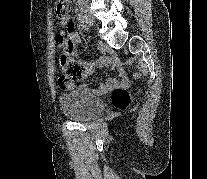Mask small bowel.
<instances>
[{
  "mask_svg": "<svg viewBox=\"0 0 207 179\" xmlns=\"http://www.w3.org/2000/svg\"><path fill=\"white\" fill-rule=\"evenodd\" d=\"M61 26L62 29L56 34V40L63 39L67 33V48L73 57L76 56L75 46L80 42V35L77 31L76 25L70 20V15L67 14L61 17ZM95 66L97 67H114L119 73L120 79L110 78L102 82L97 88V93L104 95L108 93L111 89L118 86H127L129 84V79L126 76L123 64L119 57L114 59H109L107 57L99 58ZM64 88H69L70 84H63Z\"/></svg>",
  "mask_w": 207,
  "mask_h": 179,
  "instance_id": "obj_1",
  "label": "small bowel"
}]
</instances>
